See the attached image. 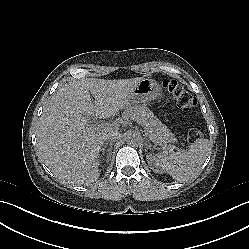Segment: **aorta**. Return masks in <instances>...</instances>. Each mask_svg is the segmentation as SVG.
<instances>
[{
  "label": "aorta",
  "mask_w": 249,
  "mask_h": 249,
  "mask_svg": "<svg viewBox=\"0 0 249 249\" xmlns=\"http://www.w3.org/2000/svg\"><path fill=\"white\" fill-rule=\"evenodd\" d=\"M126 142L128 145L136 146L139 142V137L136 134H130L126 137Z\"/></svg>",
  "instance_id": "1"
}]
</instances>
